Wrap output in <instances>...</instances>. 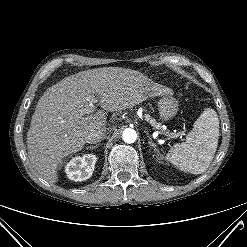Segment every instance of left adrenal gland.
<instances>
[{
    "instance_id": "a2214340",
    "label": "left adrenal gland",
    "mask_w": 247,
    "mask_h": 247,
    "mask_svg": "<svg viewBox=\"0 0 247 247\" xmlns=\"http://www.w3.org/2000/svg\"><path fill=\"white\" fill-rule=\"evenodd\" d=\"M146 132V135L148 136V138H149V142H148V144L152 147V148H154V151L155 152H159V150L157 149V146L154 144V142L152 141V138H151V136L149 135V133H148V131H145Z\"/></svg>"
}]
</instances>
